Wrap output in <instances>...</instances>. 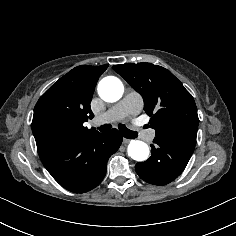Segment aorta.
I'll return each instance as SVG.
<instances>
[{
    "label": "aorta",
    "mask_w": 236,
    "mask_h": 236,
    "mask_svg": "<svg viewBox=\"0 0 236 236\" xmlns=\"http://www.w3.org/2000/svg\"><path fill=\"white\" fill-rule=\"evenodd\" d=\"M124 92L120 79L114 76L103 78L98 84V94L106 102L118 101ZM128 155L136 161H144L149 156V147L139 140H132L128 145Z\"/></svg>",
    "instance_id": "762f6f07"
}]
</instances>
